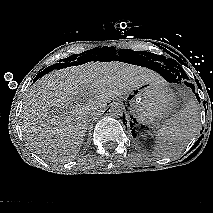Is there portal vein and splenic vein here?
Returning a JSON list of instances; mask_svg holds the SVG:
<instances>
[{"label": "portal vein and splenic vein", "mask_w": 213, "mask_h": 213, "mask_svg": "<svg viewBox=\"0 0 213 213\" xmlns=\"http://www.w3.org/2000/svg\"><path fill=\"white\" fill-rule=\"evenodd\" d=\"M88 96L90 97V94H89V93H86V94L83 95V98H86V97H88Z\"/></svg>", "instance_id": "18ae733b"}]
</instances>
